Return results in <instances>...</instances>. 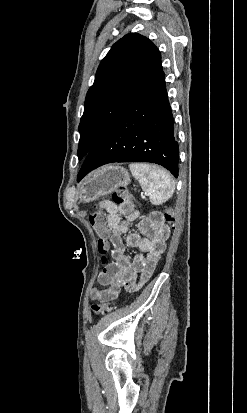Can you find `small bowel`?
Returning <instances> with one entry per match:
<instances>
[{"label": "small bowel", "instance_id": "1", "mask_svg": "<svg viewBox=\"0 0 247 413\" xmlns=\"http://www.w3.org/2000/svg\"><path fill=\"white\" fill-rule=\"evenodd\" d=\"M100 209L108 214L113 260L98 276V282L106 288L92 289L90 298L103 302L111 297H121L118 286L124 285L131 292L137 291L152 277L166 250L170 228L163 222H152L150 230V217L144 218L131 202L116 204L104 200L100 203ZM133 225L137 226L139 232H129ZM123 234H127L125 243ZM126 246L138 249L139 253L133 258L129 257L125 253Z\"/></svg>", "mask_w": 247, "mask_h": 413}]
</instances>
